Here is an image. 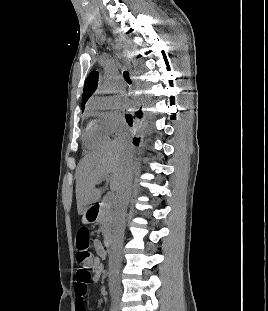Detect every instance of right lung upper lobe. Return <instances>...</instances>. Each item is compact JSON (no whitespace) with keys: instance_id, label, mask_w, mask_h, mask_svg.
Returning <instances> with one entry per match:
<instances>
[{"instance_id":"cb5924a9","label":"right lung upper lobe","mask_w":268,"mask_h":311,"mask_svg":"<svg viewBox=\"0 0 268 311\" xmlns=\"http://www.w3.org/2000/svg\"><path fill=\"white\" fill-rule=\"evenodd\" d=\"M97 83H98V72L94 71L89 75L84 85L83 96H82V109L84 108L87 100L96 90Z\"/></svg>"}]
</instances>
